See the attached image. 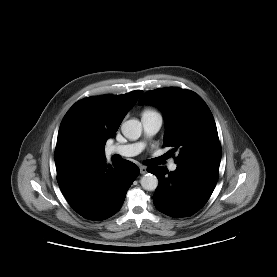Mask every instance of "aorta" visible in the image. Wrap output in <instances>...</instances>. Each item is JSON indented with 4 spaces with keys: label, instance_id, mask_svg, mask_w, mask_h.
I'll use <instances>...</instances> for the list:
<instances>
[{
    "label": "aorta",
    "instance_id": "obj_1",
    "mask_svg": "<svg viewBox=\"0 0 277 277\" xmlns=\"http://www.w3.org/2000/svg\"><path fill=\"white\" fill-rule=\"evenodd\" d=\"M122 134L129 140H137L142 133V124L137 119L125 121L121 126ZM140 184L147 191H154L158 186V179L153 174H145L140 179Z\"/></svg>",
    "mask_w": 277,
    "mask_h": 277
}]
</instances>
